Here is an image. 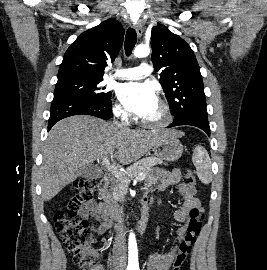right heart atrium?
Segmentation results:
<instances>
[{
    "label": "right heart atrium",
    "instance_id": "1",
    "mask_svg": "<svg viewBox=\"0 0 267 270\" xmlns=\"http://www.w3.org/2000/svg\"><path fill=\"white\" fill-rule=\"evenodd\" d=\"M114 114L121 119L122 121H128L130 118V115L127 110H125L122 106L119 104L115 105L114 107Z\"/></svg>",
    "mask_w": 267,
    "mask_h": 270
}]
</instances>
